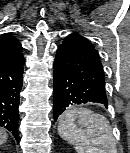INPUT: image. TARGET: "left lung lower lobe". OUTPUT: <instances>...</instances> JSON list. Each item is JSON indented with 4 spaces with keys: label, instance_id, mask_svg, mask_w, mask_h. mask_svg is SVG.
Returning a JSON list of instances; mask_svg holds the SVG:
<instances>
[{
    "label": "left lung lower lobe",
    "instance_id": "obj_1",
    "mask_svg": "<svg viewBox=\"0 0 130 153\" xmlns=\"http://www.w3.org/2000/svg\"><path fill=\"white\" fill-rule=\"evenodd\" d=\"M54 120L68 107L88 102L108 107L104 70L93 45L78 33L68 35L54 61Z\"/></svg>",
    "mask_w": 130,
    "mask_h": 153
}]
</instances>
